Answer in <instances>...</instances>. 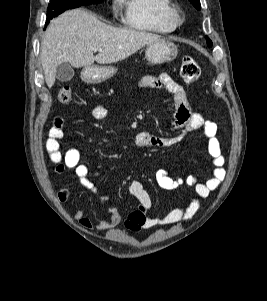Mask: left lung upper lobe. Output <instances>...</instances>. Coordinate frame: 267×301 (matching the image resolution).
<instances>
[{
    "mask_svg": "<svg viewBox=\"0 0 267 301\" xmlns=\"http://www.w3.org/2000/svg\"><path fill=\"white\" fill-rule=\"evenodd\" d=\"M189 1L193 4V6H194L196 9H198V10L201 9L200 0H189ZM206 41H207V45H208L209 47H211V46H212V41H211L208 37H206Z\"/></svg>",
    "mask_w": 267,
    "mask_h": 301,
    "instance_id": "obj_1",
    "label": "left lung upper lobe"
}]
</instances>
